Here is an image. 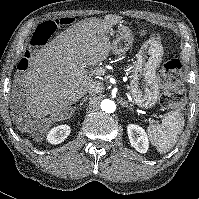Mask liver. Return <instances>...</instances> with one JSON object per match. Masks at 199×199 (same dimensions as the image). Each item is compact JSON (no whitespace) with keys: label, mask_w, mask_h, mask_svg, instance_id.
Listing matches in <instances>:
<instances>
[{"label":"liver","mask_w":199,"mask_h":199,"mask_svg":"<svg viewBox=\"0 0 199 199\" xmlns=\"http://www.w3.org/2000/svg\"><path fill=\"white\" fill-rule=\"evenodd\" d=\"M121 19V16L108 14L104 19L82 20L36 52L18 82L19 90L13 93L14 99H25V110L33 120L19 116L16 117L18 125L31 133L39 128L42 133L49 127L42 124L47 115L51 121L71 117L72 104L83 97L94 82L82 66L96 65L113 51L108 34ZM34 136L37 139L39 133Z\"/></svg>","instance_id":"liver-1"}]
</instances>
